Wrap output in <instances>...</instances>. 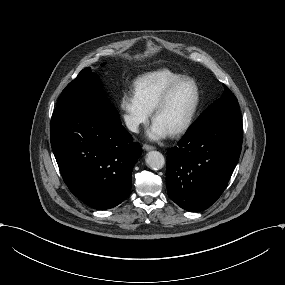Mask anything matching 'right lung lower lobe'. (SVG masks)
Here are the masks:
<instances>
[{
	"label": "right lung lower lobe",
	"mask_w": 285,
	"mask_h": 285,
	"mask_svg": "<svg viewBox=\"0 0 285 285\" xmlns=\"http://www.w3.org/2000/svg\"><path fill=\"white\" fill-rule=\"evenodd\" d=\"M51 146L69 190L88 206L106 210L130 194L141 147L122 126L115 107L104 104L56 108Z\"/></svg>",
	"instance_id": "obj_1"
}]
</instances>
